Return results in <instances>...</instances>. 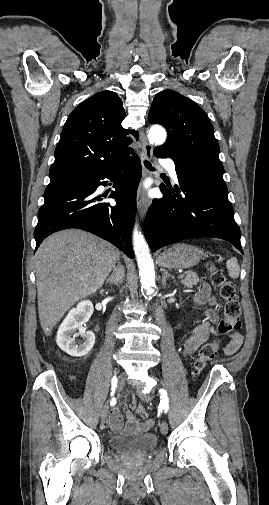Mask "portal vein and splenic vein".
I'll use <instances>...</instances> for the list:
<instances>
[{
	"instance_id": "1",
	"label": "portal vein and splenic vein",
	"mask_w": 269,
	"mask_h": 505,
	"mask_svg": "<svg viewBox=\"0 0 269 505\" xmlns=\"http://www.w3.org/2000/svg\"><path fill=\"white\" fill-rule=\"evenodd\" d=\"M178 278H179V279L183 278V275H179V276H178Z\"/></svg>"
}]
</instances>
